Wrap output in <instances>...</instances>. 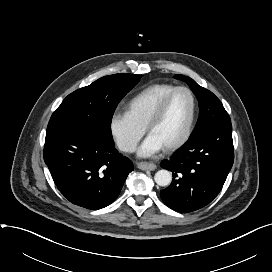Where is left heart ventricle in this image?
Segmentation results:
<instances>
[{"label":"left heart ventricle","mask_w":272,"mask_h":272,"mask_svg":"<svg viewBox=\"0 0 272 272\" xmlns=\"http://www.w3.org/2000/svg\"><path fill=\"white\" fill-rule=\"evenodd\" d=\"M192 111V101L186 92H178L169 102L159 122L151 129L154 135L166 147L176 142L185 132Z\"/></svg>","instance_id":"obj_1"}]
</instances>
